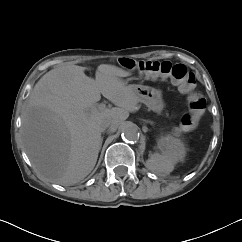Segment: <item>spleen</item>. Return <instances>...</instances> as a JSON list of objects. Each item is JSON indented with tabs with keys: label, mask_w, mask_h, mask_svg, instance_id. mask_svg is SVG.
I'll return each mask as SVG.
<instances>
[{
	"label": "spleen",
	"mask_w": 242,
	"mask_h": 242,
	"mask_svg": "<svg viewBox=\"0 0 242 242\" xmlns=\"http://www.w3.org/2000/svg\"><path fill=\"white\" fill-rule=\"evenodd\" d=\"M182 158L176 152L154 153L148 163L154 171L167 174L173 171L175 163Z\"/></svg>",
	"instance_id": "spleen-1"
}]
</instances>
